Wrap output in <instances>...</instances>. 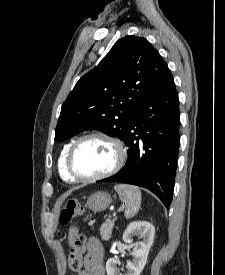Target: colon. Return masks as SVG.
Segmentation results:
<instances>
[{
  "mask_svg": "<svg viewBox=\"0 0 225 275\" xmlns=\"http://www.w3.org/2000/svg\"><path fill=\"white\" fill-rule=\"evenodd\" d=\"M84 215L83 207L76 200L66 201L59 215V223L63 226L70 224L76 217ZM91 223V219L87 216ZM68 245L71 249L68 257V267L70 270L81 271L83 265L84 238L78 229L71 227L68 232Z\"/></svg>",
  "mask_w": 225,
  "mask_h": 275,
  "instance_id": "1",
  "label": "colon"
}]
</instances>
